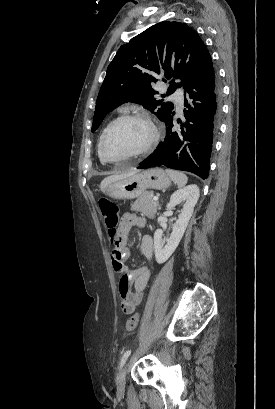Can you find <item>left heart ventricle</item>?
<instances>
[{
    "label": "left heart ventricle",
    "instance_id": "left-heart-ventricle-1",
    "mask_svg": "<svg viewBox=\"0 0 275 409\" xmlns=\"http://www.w3.org/2000/svg\"><path fill=\"white\" fill-rule=\"evenodd\" d=\"M146 127L137 121L118 123L103 146L105 157H122L137 149L146 139Z\"/></svg>",
    "mask_w": 275,
    "mask_h": 409
}]
</instances>
